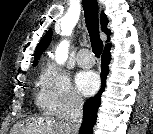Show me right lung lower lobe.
Here are the masks:
<instances>
[{
  "label": "right lung lower lobe",
  "mask_w": 153,
  "mask_h": 134,
  "mask_svg": "<svg viewBox=\"0 0 153 134\" xmlns=\"http://www.w3.org/2000/svg\"><path fill=\"white\" fill-rule=\"evenodd\" d=\"M110 48H111V45L108 47H105L104 52L102 54V63H101L102 86L100 91L94 97L89 98L83 107L84 116H83V122L80 127L79 134H92L93 126L96 122L97 110L101 102V94L103 93L105 88V80L108 74V65L111 60Z\"/></svg>",
  "instance_id": "right-lung-lower-lobe-1"
}]
</instances>
